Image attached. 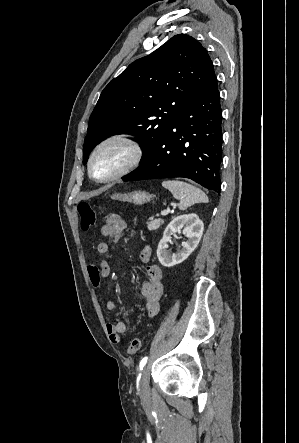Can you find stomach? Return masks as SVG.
<instances>
[{
    "label": "stomach",
    "instance_id": "1",
    "mask_svg": "<svg viewBox=\"0 0 299 443\" xmlns=\"http://www.w3.org/2000/svg\"><path fill=\"white\" fill-rule=\"evenodd\" d=\"M111 198L123 202H130L136 205H142L144 203L150 202L151 195L145 191H134L125 194L116 193L113 194Z\"/></svg>",
    "mask_w": 299,
    "mask_h": 443
}]
</instances>
